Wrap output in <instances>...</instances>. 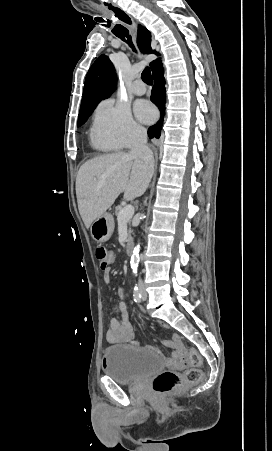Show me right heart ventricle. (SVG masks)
<instances>
[{
  "label": "right heart ventricle",
  "instance_id": "obj_1",
  "mask_svg": "<svg viewBox=\"0 0 272 451\" xmlns=\"http://www.w3.org/2000/svg\"><path fill=\"white\" fill-rule=\"evenodd\" d=\"M100 146H102L104 148H111V147H113V146H110V145H100Z\"/></svg>",
  "mask_w": 272,
  "mask_h": 451
}]
</instances>
